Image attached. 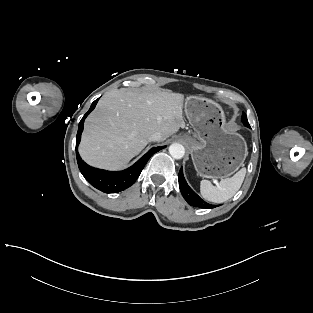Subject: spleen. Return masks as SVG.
Returning <instances> with one entry per match:
<instances>
[{
	"label": "spleen",
	"mask_w": 313,
	"mask_h": 313,
	"mask_svg": "<svg viewBox=\"0 0 313 313\" xmlns=\"http://www.w3.org/2000/svg\"><path fill=\"white\" fill-rule=\"evenodd\" d=\"M246 175V168H241L231 178H225L219 184L213 186L208 180L200 182V192L204 199L214 202L223 203L232 198L240 189Z\"/></svg>",
	"instance_id": "3e777b00"
}]
</instances>
